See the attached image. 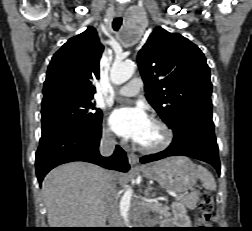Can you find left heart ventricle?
Returning a JSON list of instances; mask_svg holds the SVG:
<instances>
[{
    "instance_id": "obj_1",
    "label": "left heart ventricle",
    "mask_w": 252,
    "mask_h": 231,
    "mask_svg": "<svg viewBox=\"0 0 252 231\" xmlns=\"http://www.w3.org/2000/svg\"><path fill=\"white\" fill-rule=\"evenodd\" d=\"M162 139H163V133L161 129L156 124L151 122L147 132L145 133V135L143 136V138L139 143L146 146H154L159 144L162 141Z\"/></svg>"
}]
</instances>
